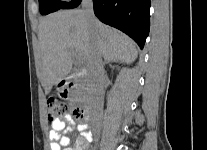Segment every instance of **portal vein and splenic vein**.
I'll return each mask as SVG.
<instances>
[{
    "label": "portal vein and splenic vein",
    "mask_w": 207,
    "mask_h": 150,
    "mask_svg": "<svg viewBox=\"0 0 207 150\" xmlns=\"http://www.w3.org/2000/svg\"><path fill=\"white\" fill-rule=\"evenodd\" d=\"M76 59H77L78 63H82V60H81V58L79 56H76ZM83 72H85V71L83 70Z\"/></svg>",
    "instance_id": "1"
}]
</instances>
